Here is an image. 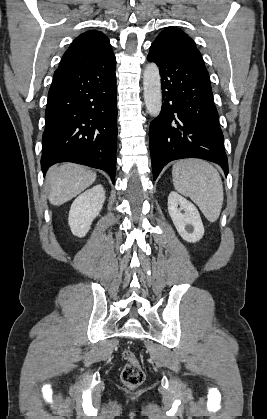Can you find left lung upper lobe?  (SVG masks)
<instances>
[{"label": "left lung upper lobe", "mask_w": 267, "mask_h": 419, "mask_svg": "<svg viewBox=\"0 0 267 419\" xmlns=\"http://www.w3.org/2000/svg\"><path fill=\"white\" fill-rule=\"evenodd\" d=\"M152 45L167 52L188 56L204 64L203 58L196 48L194 41L179 29L172 27L164 29Z\"/></svg>", "instance_id": "5c2ea615"}]
</instances>
